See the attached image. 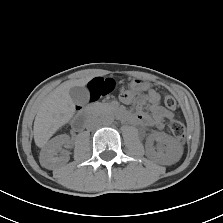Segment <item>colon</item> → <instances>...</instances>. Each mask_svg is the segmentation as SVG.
<instances>
[{"mask_svg": "<svg viewBox=\"0 0 223 223\" xmlns=\"http://www.w3.org/2000/svg\"><path fill=\"white\" fill-rule=\"evenodd\" d=\"M114 89V83L111 80L98 81L94 80L90 84V98L97 100L99 96H104L111 93ZM164 104L166 108L173 110L176 107V101L172 96H165ZM168 128L172 134L181 142L186 139L185 126L178 120L171 119L168 121Z\"/></svg>", "mask_w": 223, "mask_h": 223, "instance_id": "1", "label": "colon"}]
</instances>
